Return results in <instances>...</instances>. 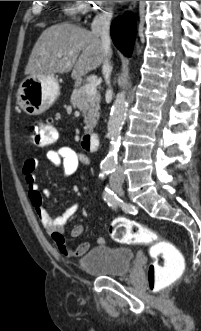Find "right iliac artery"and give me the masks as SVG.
<instances>
[{
  "label": "right iliac artery",
  "instance_id": "right-iliac-artery-1",
  "mask_svg": "<svg viewBox=\"0 0 201 331\" xmlns=\"http://www.w3.org/2000/svg\"><path fill=\"white\" fill-rule=\"evenodd\" d=\"M114 171V169L112 168H107L106 169V174L112 173ZM104 200L107 202V204L109 206H111L112 208H116L118 203H119V199L116 196V194H114V192L109 188L106 187L105 188V192H104Z\"/></svg>",
  "mask_w": 201,
  "mask_h": 331
}]
</instances>
